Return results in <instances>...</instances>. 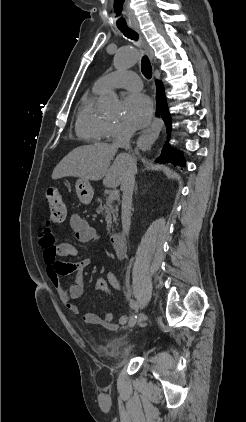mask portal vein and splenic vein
<instances>
[{
  "label": "portal vein and splenic vein",
  "instance_id": "portal-vein-and-splenic-vein-1",
  "mask_svg": "<svg viewBox=\"0 0 246 422\" xmlns=\"http://www.w3.org/2000/svg\"><path fill=\"white\" fill-rule=\"evenodd\" d=\"M117 198H119V191L118 190L111 191V193L109 194V199L115 200Z\"/></svg>",
  "mask_w": 246,
  "mask_h": 422
}]
</instances>
